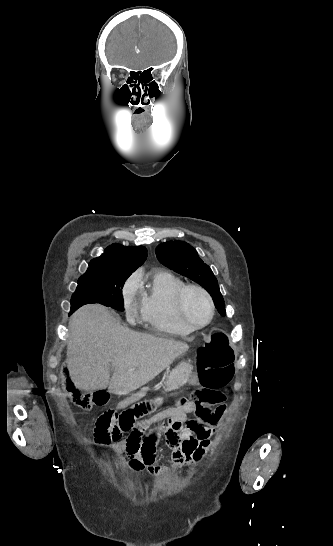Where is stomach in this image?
Returning <instances> with one entry per match:
<instances>
[{"mask_svg":"<svg viewBox=\"0 0 333 546\" xmlns=\"http://www.w3.org/2000/svg\"><path fill=\"white\" fill-rule=\"evenodd\" d=\"M194 362L191 360H185L180 362L174 369H172L167 376L165 384L163 386L164 391L168 392L180 386L189 380L185 377L193 373Z\"/></svg>","mask_w":333,"mask_h":546,"instance_id":"obj_1","label":"stomach"}]
</instances>
